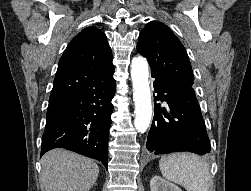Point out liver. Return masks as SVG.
Returning a JSON list of instances; mask_svg holds the SVG:
<instances>
[{
	"mask_svg": "<svg viewBox=\"0 0 251 191\" xmlns=\"http://www.w3.org/2000/svg\"><path fill=\"white\" fill-rule=\"evenodd\" d=\"M41 165L40 181L46 191H89L99 173L93 159L59 147L47 151Z\"/></svg>",
	"mask_w": 251,
	"mask_h": 191,
	"instance_id": "obj_1",
	"label": "liver"
}]
</instances>
